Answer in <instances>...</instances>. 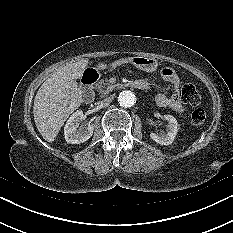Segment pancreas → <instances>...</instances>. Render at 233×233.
I'll return each instance as SVG.
<instances>
[{
    "instance_id": "pancreas-1",
    "label": "pancreas",
    "mask_w": 233,
    "mask_h": 233,
    "mask_svg": "<svg viewBox=\"0 0 233 233\" xmlns=\"http://www.w3.org/2000/svg\"><path fill=\"white\" fill-rule=\"evenodd\" d=\"M96 88H97V91L99 92L100 97H105L115 88V86L110 84L107 81L101 80L96 85Z\"/></svg>"
}]
</instances>
